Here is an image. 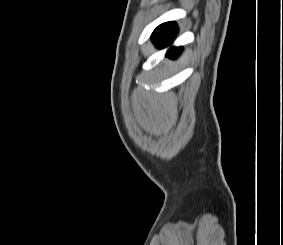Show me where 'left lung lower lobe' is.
<instances>
[{
    "instance_id": "left-lung-lower-lobe-1",
    "label": "left lung lower lobe",
    "mask_w": 283,
    "mask_h": 245,
    "mask_svg": "<svg viewBox=\"0 0 283 245\" xmlns=\"http://www.w3.org/2000/svg\"><path fill=\"white\" fill-rule=\"evenodd\" d=\"M176 33H177L176 23L167 22L158 26L152 33L151 38L153 42L156 44V46L162 48L169 45L173 41L174 37L176 36ZM180 50L181 47L171 48L168 51L167 56L174 58L179 54Z\"/></svg>"
}]
</instances>
